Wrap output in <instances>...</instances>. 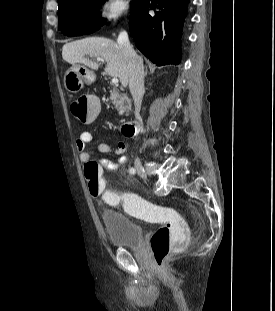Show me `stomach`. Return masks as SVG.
<instances>
[{"label":"stomach","mask_w":275,"mask_h":311,"mask_svg":"<svg viewBox=\"0 0 275 311\" xmlns=\"http://www.w3.org/2000/svg\"><path fill=\"white\" fill-rule=\"evenodd\" d=\"M93 73L86 67L75 64L72 65L64 74V87L70 93L79 92L85 84L94 82Z\"/></svg>","instance_id":"1"}]
</instances>
